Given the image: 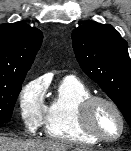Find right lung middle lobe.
Listing matches in <instances>:
<instances>
[{
	"label": "right lung middle lobe",
	"mask_w": 131,
	"mask_h": 151,
	"mask_svg": "<svg viewBox=\"0 0 131 151\" xmlns=\"http://www.w3.org/2000/svg\"><path fill=\"white\" fill-rule=\"evenodd\" d=\"M23 80L0 78V124L10 120Z\"/></svg>",
	"instance_id": "right-lung-middle-lobe-1"
}]
</instances>
